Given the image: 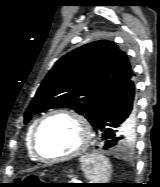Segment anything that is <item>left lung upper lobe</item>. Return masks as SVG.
<instances>
[{"mask_svg": "<svg viewBox=\"0 0 160 187\" xmlns=\"http://www.w3.org/2000/svg\"><path fill=\"white\" fill-rule=\"evenodd\" d=\"M132 74L127 55L116 44L105 40L85 44L55 63L25 112V123L47 109L69 107L84 115L93 126L102 103ZM134 135L135 126L125 147Z\"/></svg>", "mask_w": 160, "mask_h": 187, "instance_id": "5c2ea615", "label": "left lung upper lobe"}]
</instances>
